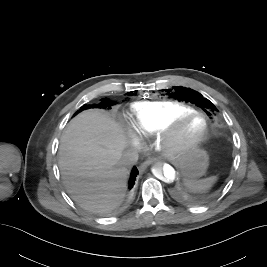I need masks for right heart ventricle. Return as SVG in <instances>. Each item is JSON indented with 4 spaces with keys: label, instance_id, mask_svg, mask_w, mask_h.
<instances>
[{
    "label": "right heart ventricle",
    "instance_id": "obj_1",
    "mask_svg": "<svg viewBox=\"0 0 267 267\" xmlns=\"http://www.w3.org/2000/svg\"><path fill=\"white\" fill-rule=\"evenodd\" d=\"M192 111L195 109L184 102L142 101L131 105L130 116L138 133L153 136L166 122Z\"/></svg>",
    "mask_w": 267,
    "mask_h": 267
}]
</instances>
